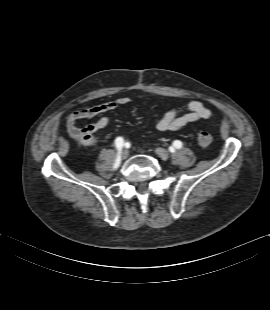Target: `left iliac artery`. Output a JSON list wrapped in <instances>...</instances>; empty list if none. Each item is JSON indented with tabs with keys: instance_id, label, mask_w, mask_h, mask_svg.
<instances>
[{
	"instance_id": "obj_1",
	"label": "left iliac artery",
	"mask_w": 270,
	"mask_h": 310,
	"mask_svg": "<svg viewBox=\"0 0 270 310\" xmlns=\"http://www.w3.org/2000/svg\"><path fill=\"white\" fill-rule=\"evenodd\" d=\"M173 147L177 148V149H180L182 147V142L179 141V140H176L173 142ZM171 147V151L173 152L174 148Z\"/></svg>"
}]
</instances>
